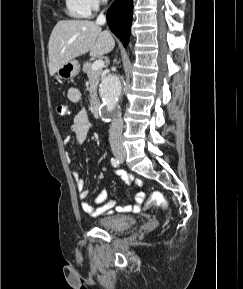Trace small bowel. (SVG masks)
Segmentation results:
<instances>
[{"mask_svg": "<svg viewBox=\"0 0 243 289\" xmlns=\"http://www.w3.org/2000/svg\"><path fill=\"white\" fill-rule=\"evenodd\" d=\"M67 97L71 102H79L81 98L80 91L75 87H70L67 90ZM94 129L93 124L90 122L88 114L85 110L79 111L72 120L70 126V133L74 137L78 145L82 144L88 137L89 133ZM71 135H68L64 138V143L67 144L71 141ZM67 161L69 163H78L80 162L75 159L70 154H67ZM115 174L120 177L125 184L131 185L135 184L139 189L135 195L134 203L126 206H116L115 212L127 213V212H138L141 209V205L145 199V194L142 191V181L139 179H134L133 176L122 170H116ZM73 176L76 181V186L79 192V197L81 200V207L83 211L92 217L103 216L114 212L112 209L115 206V200L111 199L106 202L107 191L102 190L100 194L95 199V204L97 207H93L87 202L89 196V191L85 188V182L78 172H74Z\"/></svg>", "mask_w": 243, "mask_h": 289, "instance_id": "obj_1", "label": "small bowel"}]
</instances>
